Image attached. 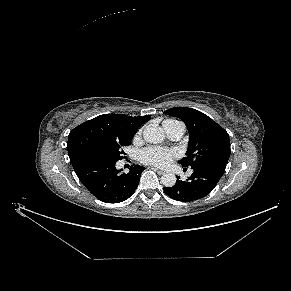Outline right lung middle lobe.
Returning <instances> with one entry per match:
<instances>
[{
    "mask_svg": "<svg viewBox=\"0 0 291 291\" xmlns=\"http://www.w3.org/2000/svg\"><path fill=\"white\" fill-rule=\"evenodd\" d=\"M130 143L131 139L115 140L106 145L92 149L90 154L102 155L118 161L123 158L122 154H124V151L122 147L130 145Z\"/></svg>",
    "mask_w": 291,
    "mask_h": 291,
    "instance_id": "dd1d6c3e",
    "label": "right lung middle lobe"
}]
</instances>
